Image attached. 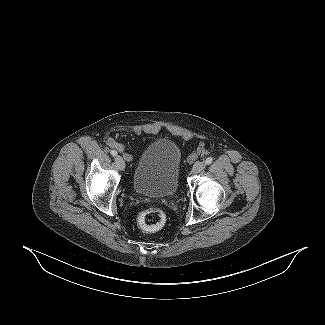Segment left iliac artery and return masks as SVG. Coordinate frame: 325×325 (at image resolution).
<instances>
[{"instance_id": "obj_1", "label": "left iliac artery", "mask_w": 325, "mask_h": 325, "mask_svg": "<svg viewBox=\"0 0 325 325\" xmlns=\"http://www.w3.org/2000/svg\"><path fill=\"white\" fill-rule=\"evenodd\" d=\"M212 161H213V158H212V157H208V158L206 159L205 163L209 165V164L212 163Z\"/></svg>"}]
</instances>
